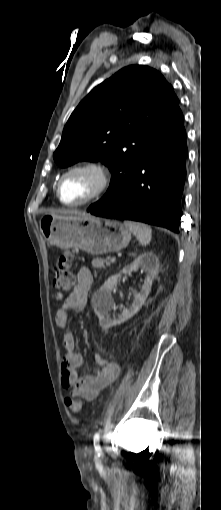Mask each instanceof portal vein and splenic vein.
<instances>
[{"label":"portal vein and splenic vein","mask_w":221,"mask_h":510,"mask_svg":"<svg viewBox=\"0 0 221 510\" xmlns=\"http://www.w3.org/2000/svg\"><path fill=\"white\" fill-rule=\"evenodd\" d=\"M116 258L115 257H112L110 258V261L108 262L109 264L112 263V262H115Z\"/></svg>","instance_id":"portal-vein-and-splenic-vein-1"}]
</instances>
